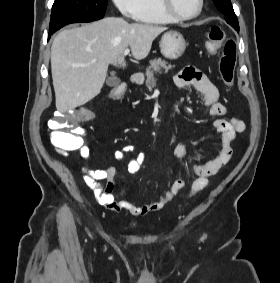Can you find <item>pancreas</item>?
Returning a JSON list of instances; mask_svg holds the SVG:
<instances>
[{
  "label": "pancreas",
  "mask_w": 280,
  "mask_h": 283,
  "mask_svg": "<svg viewBox=\"0 0 280 283\" xmlns=\"http://www.w3.org/2000/svg\"><path fill=\"white\" fill-rule=\"evenodd\" d=\"M173 66L168 64L166 61L159 59H154L150 61V65L146 69V86L147 88L152 91L154 86L156 85V78L155 74L161 73L164 70L166 73L172 68Z\"/></svg>",
  "instance_id": "1"
}]
</instances>
